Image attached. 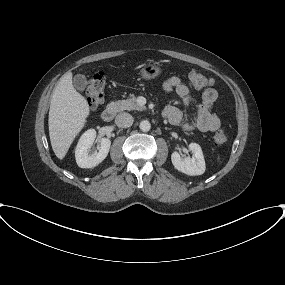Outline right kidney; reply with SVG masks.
Here are the masks:
<instances>
[{"label": "right kidney", "instance_id": "obj_1", "mask_svg": "<svg viewBox=\"0 0 285 285\" xmlns=\"http://www.w3.org/2000/svg\"><path fill=\"white\" fill-rule=\"evenodd\" d=\"M96 138V131L94 129L87 130L79 139L75 150V158L77 165L81 168H94L101 163L108 155L111 141L108 138H101L99 140L98 152L90 153Z\"/></svg>", "mask_w": 285, "mask_h": 285}]
</instances>
